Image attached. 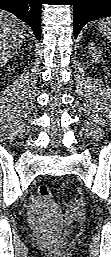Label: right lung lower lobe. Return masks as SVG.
Returning <instances> with one entry per match:
<instances>
[{
    "mask_svg": "<svg viewBox=\"0 0 111 257\" xmlns=\"http://www.w3.org/2000/svg\"><path fill=\"white\" fill-rule=\"evenodd\" d=\"M41 0H0V9L13 13L27 23L40 40Z\"/></svg>",
    "mask_w": 111,
    "mask_h": 257,
    "instance_id": "98d812e1",
    "label": "right lung lower lobe"
}]
</instances>
